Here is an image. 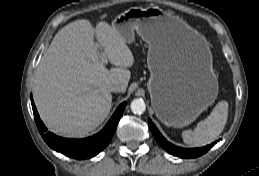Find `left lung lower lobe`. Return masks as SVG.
Segmentation results:
<instances>
[{"label":"left lung lower lobe","mask_w":259,"mask_h":176,"mask_svg":"<svg viewBox=\"0 0 259 176\" xmlns=\"http://www.w3.org/2000/svg\"><path fill=\"white\" fill-rule=\"evenodd\" d=\"M149 127L151 129V132L157 142L170 154L181 157V158H196L200 155H203L206 153L212 146L216 144V142L202 147V148H192V149H185L181 147L174 146L170 142H168L158 131V129L155 127L153 122L149 120Z\"/></svg>","instance_id":"left-lung-lower-lobe-1"}]
</instances>
